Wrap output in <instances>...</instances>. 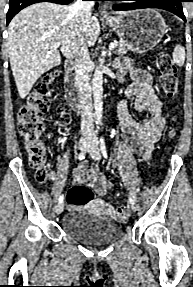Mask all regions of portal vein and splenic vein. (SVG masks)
I'll return each mask as SVG.
<instances>
[{"instance_id":"18ae733b","label":"portal vein and splenic vein","mask_w":193,"mask_h":287,"mask_svg":"<svg viewBox=\"0 0 193 287\" xmlns=\"http://www.w3.org/2000/svg\"><path fill=\"white\" fill-rule=\"evenodd\" d=\"M60 45H61L60 42H55V43L53 44L54 47H58V46H60ZM114 48H115V44H114V43H111V44L109 45V49H110V50H113Z\"/></svg>"}]
</instances>
